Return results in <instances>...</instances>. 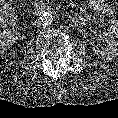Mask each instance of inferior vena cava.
Masks as SVG:
<instances>
[{"label": "inferior vena cava", "instance_id": "602c4592", "mask_svg": "<svg viewBox=\"0 0 118 118\" xmlns=\"http://www.w3.org/2000/svg\"><path fill=\"white\" fill-rule=\"evenodd\" d=\"M35 23L40 26L41 25V20H36Z\"/></svg>", "mask_w": 118, "mask_h": 118}]
</instances>
